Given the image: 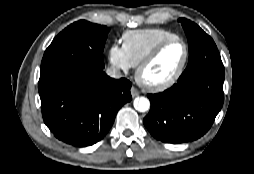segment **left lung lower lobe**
I'll list each match as a JSON object with an SVG mask.
<instances>
[{
  "instance_id": "0a47b994",
  "label": "left lung lower lobe",
  "mask_w": 254,
  "mask_h": 174,
  "mask_svg": "<svg viewBox=\"0 0 254 174\" xmlns=\"http://www.w3.org/2000/svg\"><path fill=\"white\" fill-rule=\"evenodd\" d=\"M224 72L203 71L178 79L170 89L148 94L151 108L143 119L150 134L165 143L194 141L212 126L222 108Z\"/></svg>"
}]
</instances>
